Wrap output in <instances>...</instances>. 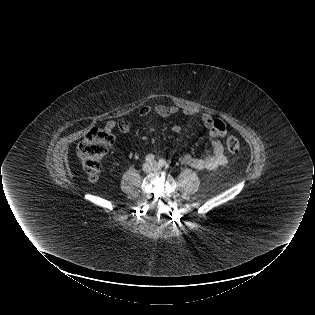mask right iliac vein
Instances as JSON below:
<instances>
[{
    "label": "right iliac vein",
    "instance_id": "1",
    "mask_svg": "<svg viewBox=\"0 0 315 315\" xmlns=\"http://www.w3.org/2000/svg\"><path fill=\"white\" fill-rule=\"evenodd\" d=\"M153 169L152 164L151 163H145L143 165V170L146 172H150Z\"/></svg>",
    "mask_w": 315,
    "mask_h": 315
}]
</instances>
